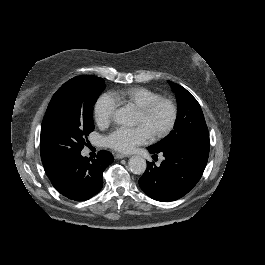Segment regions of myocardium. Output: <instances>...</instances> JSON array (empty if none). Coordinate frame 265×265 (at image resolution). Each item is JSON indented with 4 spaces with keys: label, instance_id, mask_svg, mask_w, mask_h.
<instances>
[{
    "label": "myocardium",
    "instance_id": "myocardium-1",
    "mask_svg": "<svg viewBox=\"0 0 265 265\" xmlns=\"http://www.w3.org/2000/svg\"><path fill=\"white\" fill-rule=\"evenodd\" d=\"M159 105H164L168 108L169 119L167 123L165 124V126L162 127L158 132H156L152 136L154 141L159 140L165 137L166 135H168L174 128L176 121H177V117H178V110H177L175 103L167 98H162V97H159L157 99L150 101L143 108L139 109L138 112L143 117H149Z\"/></svg>",
    "mask_w": 265,
    "mask_h": 265
}]
</instances>
